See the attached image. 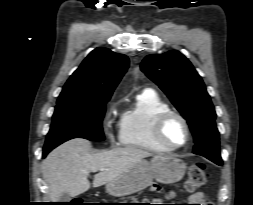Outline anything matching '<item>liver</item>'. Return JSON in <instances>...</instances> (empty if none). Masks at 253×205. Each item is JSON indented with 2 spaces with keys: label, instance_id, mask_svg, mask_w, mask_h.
Returning <instances> with one entry per match:
<instances>
[{
  "label": "liver",
  "instance_id": "obj_1",
  "mask_svg": "<svg viewBox=\"0 0 253 205\" xmlns=\"http://www.w3.org/2000/svg\"><path fill=\"white\" fill-rule=\"evenodd\" d=\"M91 148V143L86 139H72L55 148L42 162L43 178L53 202H57L63 193L75 197L86 192L90 188V172L99 171L93 180V187L96 188L152 155L132 146L98 153H92Z\"/></svg>",
  "mask_w": 253,
  "mask_h": 205
}]
</instances>
